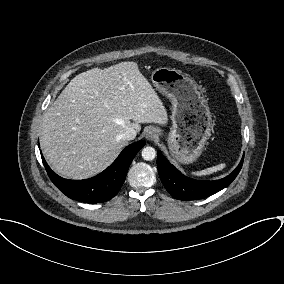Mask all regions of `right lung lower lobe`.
<instances>
[{
    "label": "right lung lower lobe",
    "mask_w": 284,
    "mask_h": 284,
    "mask_svg": "<svg viewBox=\"0 0 284 284\" xmlns=\"http://www.w3.org/2000/svg\"><path fill=\"white\" fill-rule=\"evenodd\" d=\"M144 145L143 140L129 145L106 170L87 180L61 178L47 165L43 155L41 157L51 181L66 196L85 203H100L112 199L119 192L130 163Z\"/></svg>",
    "instance_id": "1"
}]
</instances>
